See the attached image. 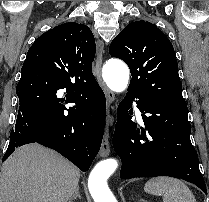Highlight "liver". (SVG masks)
Masks as SVG:
<instances>
[{"label":"liver","mask_w":209,"mask_h":202,"mask_svg":"<svg viewBox=\"0 0 209 202\" xmlns=\"http://www.w3.org/2000/svg\"><path fill=\"white\" fill-rule=\"evenodd\" d=\"M80 172L67 159L38 144H29L5 161L0 177V202H67Z\"/></svg>","instance_id":"obj_1"}]
</instances>
